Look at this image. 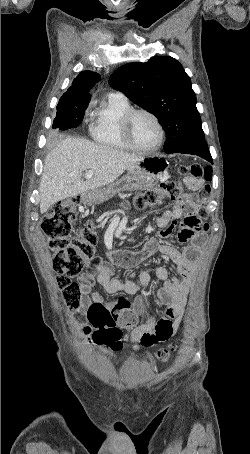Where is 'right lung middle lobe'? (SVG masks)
<instances>
[{
    "instance_id": "1",
    "label": "right lung middle lobe",
    "mask_w": 250,
    "mask_h": 454,
    "mask_svg": "<svg viewBox=\"0 0 250 454\" xmlns=\"http://www.w3.org/2000/svg\"><path fill=\"white\" fill-rule=\"evenodd\" d=\"M89 102L58 103L53 129L67 130L78 127L84 117Z\"/></svg>"
}]
</instances>
